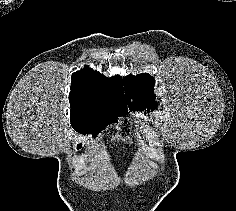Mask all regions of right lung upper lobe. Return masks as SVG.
<instances>
[{"label":"right lung upper lobe","instance_id":"cb5924a9","mask_svg":"<svg viewBox=\"0 0 236 211\" xmlns=\"http://www.w3.org/2000/svg\"><path fill=\"white\" fill-rule=\"evenodd\" d=\"M120 76L110 79L89 67L72 74L71 112L118 114L128 112L127 90ZM126 96V98H125Z\"/></svg>","mask_w":236,"mask_h":211}]
</instances>
